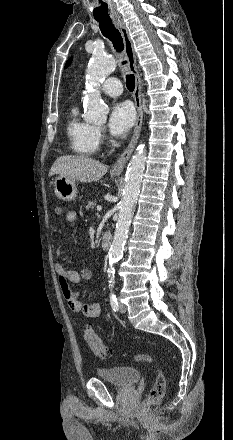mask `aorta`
<instances>
[{
  "label": "aorta",
  "instance_id": "1",
  "mask_svg": "<svg viewBox=\"0 0 233 440\" xmlns=\"http://www.w3.org/2000/svg\"><path fill=\"white\" fill-rule=\"evenodd\" d=\"M114 58L102 53H95L88 67V80L95 88L86 95L85 120L89 122H105L109 108L102 102L98 87L100 83L116 68ZM146 151L144 145H139L132 156L125 175L123 198L120 202L119 217L112 244L109 249L108 274L114 277V264L123 256L124 245L134 213L135 204L140 192L142 175L145 167Z\"/></svg>",
  "mask_w": 233,
  "mask_h": 440
}]
</instances>
